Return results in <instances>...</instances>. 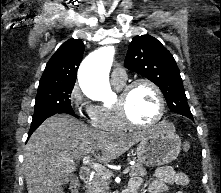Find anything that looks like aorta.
I'll list each match as a JSON object with an SVG mask.
<instances>
[{"instance_id":"obj_1","label":"aorta","mask_w":221,"mask_h":193,"mask_svg":"<svg viewBox=\"0 0 221 193\" xmlns=\"http://www.w3.org/2000/svg\"><path fill=\"white\" fill-rule=\"evenodd\" d=\"M112 60L113 48L104 47L92 52L82 62L78 80L90 98L103 101L112 94L107 77Z\"/></svg>"}]
</instances>
